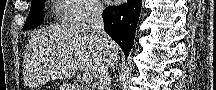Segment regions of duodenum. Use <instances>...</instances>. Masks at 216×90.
<instances>
[{"label": "duodenum", "instance_id": "1", "mask_svg": "<svg viewBox=\"0 0 216 90\" xmlns=\"http://www.w3.org/2000/svg\"><path fill=\"white\" fill-rule=\"evenodd\" d=\"M70 90H87V87H70Z\"/></svg>", "mask_w": 216, "mask_h": 90}]
</instances>
